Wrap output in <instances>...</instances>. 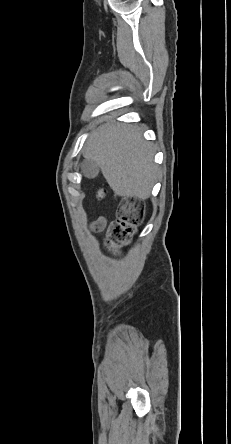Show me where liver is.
<instances>
[{"label": "liver", "mask_w": 231, "mask_h": 444, "mask_svg": "<svg viewBox=\"0 0 231 444\" xmlns=\"http://www.w3.org/2000/svg\"><path fill=\"white\" fill-rule=\"evenodd\" d=\"M83 154L97 163L115 197H150L158 171L153 147L138 127L102 126L88 139Z\"/></svg>", "instance_id": "liver-1"}]
</instances>
